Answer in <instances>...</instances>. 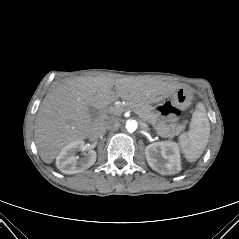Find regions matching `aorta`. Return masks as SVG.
<instances>
[{"instance_id":"762f6f07","label":"aorta","mask_w":239,"mask_h":239,"mask_svg":"<svg viewBox=\"0 0 239 239\" xmlns=\"http://www.w3.org/2000/svg\"><path fill=\"white\" fill-rule=\"evenodd\" d=\"M126 129L128 132L132 133V132H135L138 128V123L136 120H127L126 121V125H125Z\"/></svg>"}]
</instances>
